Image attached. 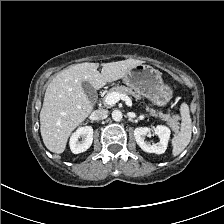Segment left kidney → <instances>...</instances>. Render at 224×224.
<instances>
[{"label": "left kidney", "mask_w": 224, "mask_h": 224, "mask_svg": "<svg viewBox=\"0 0 224 224\" xmlns=\"http://www.w3.org/2000/svg\"><path fill=\"white\" fill-rule=\"evenodd\" d=\"M151 132L159 137L158 143L150 144L145 141V136ZM170 134V129L163 125H158L154 130L148 127H139L134 130V137L139 147L145 152L155 154H163L166 151Z\"/></svg>", "instance_id": "5707ae66"}]
</instances>
